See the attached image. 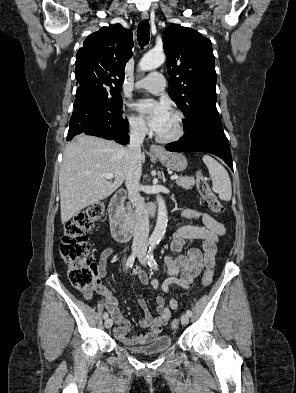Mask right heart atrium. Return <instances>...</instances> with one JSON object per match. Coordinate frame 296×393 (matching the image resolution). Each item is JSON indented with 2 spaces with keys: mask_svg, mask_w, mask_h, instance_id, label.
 I'll list each match as a JSON object with an SVG mask.
<instances>
[{
  "mask_svg": "<svg viewBox=\"0 0 296 393\" xmlns=\"http://www.w3.org/2000/svg\"><path fill=\"white\" fill-rule=\"evenodd\" d=\"M128 124L131 132L135 135L142 136L147 133V127L144 121L137 116L129 115Z\"/></svg>",
  "mask_w": 296,
  "mask_h": 393,
  "instance_id": "right-heart-atrium-1",
  "label": "right heart atrium"
}]
</instances>
